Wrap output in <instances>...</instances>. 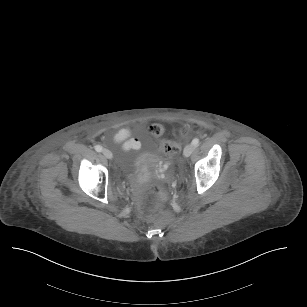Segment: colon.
Wrapping results in <instances>:
<instances>
[{
	"instance_id": "colon-1",
	"label": "colon",
	"mask_w": 307,
	"mask_h": 307,
	"mask_svg": "<svg viewBox=\"0 0 307 307\" xmlns=\"http://www.w3.org/2000/svg\"><path fill=\"white\" fill-rule=\"evenodd\" d=\"M188 131L192 132L193 128L192 127H189V128L188 127H184L181 130V133L185 134L180 139L181 143H185L190 138V135L186 134ZM150 132L155 134V135L161 136L162 135V127L160 125H152L150 127ZM180 142H177L175 144L174 142H171L169 140L163 139L162 142H161V148H162V150L165 153H174L181 146ZM151 195L155 199H162V198H164L165 195H166V188H165V186L162 185V184H155V185H153L152 188H151Z\"/></svg>"
}]
</instances>
